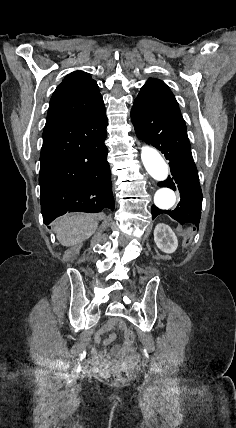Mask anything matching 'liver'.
I'll return each mask as SVG.
<instances>
[{
  "label": "liver",
  "mask_w": 236,
  "mask_h": 428,
  "mask_svg": "<svg viewBox=\"0 0 236 428\" xmlns=\"http://www.w3.org/2000/svg\"><path fill=\"white\" fill-rule=\"evenodd\" d=\"M55 234L62 246H75L88 240L98 228L95 214H68L55 220Z\"/></svg>",
  "instance_id": "liver-1"
}]
</instances>
